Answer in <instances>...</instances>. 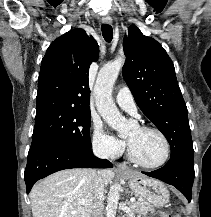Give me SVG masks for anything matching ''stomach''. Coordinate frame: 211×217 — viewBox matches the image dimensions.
Here are the masks:
<instances>
[{"label":"stomach","mask_w":211,"mask_h":217,"mask_svg":"<svg viewBox=\"0 0 211 217\" xmlns=\"http://www.w3.org/2000/svg\"><path fill=\"white\" fill-rule=\"evenodd\" d=\"M130 188L144 200L156 207H162L169 202V191L159 180L145 177L137 172L124 173Z\"/></svg>","instance_id":"stomach-1"}]
</instances>
